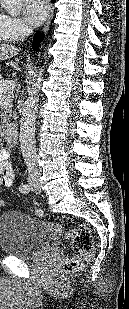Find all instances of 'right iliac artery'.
Listing matches in <instances>:
<instances>
[{
    "mask_svg": "<svg viewBox=\"0 0 129 309\" xmlns=\"http://www.w3.org/2000/svg\"><path fill=\"white\" fill-rule=\"evenodd\" d=\"M20 192L21 193H28L30 188H29V185L28 184H22L19 188Z\"/></svg>",
    "mask_w": 129,
    "mask_h": 309,
    "instance_id": "1",
    "label": "right iliac artery"
}]
</instances>
